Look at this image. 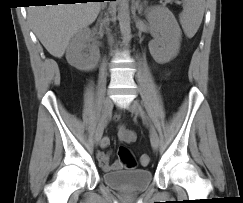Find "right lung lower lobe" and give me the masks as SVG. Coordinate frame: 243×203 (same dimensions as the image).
<instances>
[{"mask_svg":"<svg viewBox=\"0 0 243 203\" xmlns=\"http://www.w3.org/2000/svg\"><path fill=\"white\" fill-rule=\"evenodd\" d=\"M63 1L62 3H74L73 1L74 0H61ZM84 1V0H83ZM97 1H104V0H97ZM110 1H113V0H110ZM115 1V0H114Z\"/></svg>","mask_w":243,"mask_h":203,"instance_id":"obj_1","label":"right lung lower lobe"}]
</instances>
